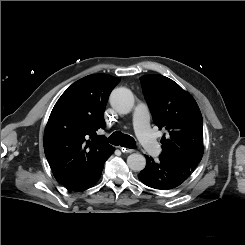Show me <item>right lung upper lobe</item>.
Wrapping results in <instances>:
<instances>
[{"label":"right lung upper lobe","mask_w":245,"mask_h":245,"mask_svg":"<svg viewBox=\"0 0 245 245\" xmlns=\"http://www.w3.org/2000/svg\"><path fill=\"white\" fill-rule=\"evenodd\" d=\"M119 81L107 74L86 76L73 83L55 104L44 132V151L60 184L114 150L97 131L106 126L105 106Z\"/></svg>","instance_id":"cb5924a9"}]
</instances>
